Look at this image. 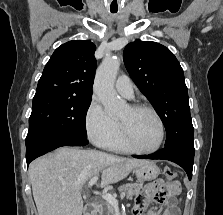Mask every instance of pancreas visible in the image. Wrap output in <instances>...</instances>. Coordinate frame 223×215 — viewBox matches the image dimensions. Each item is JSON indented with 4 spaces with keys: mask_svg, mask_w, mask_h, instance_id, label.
<instances>
[{
    "mask_svg": "<svg viewBox=\"0 0 223 215\" xmlns=\"http://www.w3.org/2000/svg\"><path fill=\"white\" fill-rule=\"evenodd\" d=\"M139 183H125V185H120V187H117L119 191H126V197L128 199H132L133 195H137V193H140V191L137 189L139 187ZM102 209H106L108 215H115L114 207L113 205H110L108 201H104Z\"/></svg>",
    "mask_w": 223,
    "mask_h": 215,
    "instance_id": "obj_1",
    "label": "pancreas"
}]
</instances>
